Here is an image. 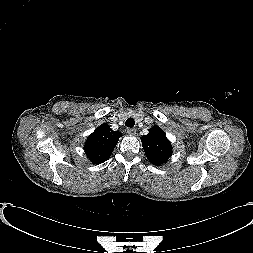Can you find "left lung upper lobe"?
I'll use <instances>...</instances> for the list:
<instances>
[{"mask_svg":"<svg viewBox=\"0 0 253 253\" xmlns=\"http://www.w3.org/2000/svg\"><path fill=\"white\" fill-rule=\"evenodd\" d=\"M141 141L148 160L154 165H162L172 154L170 141L158 126L151 128Z\"/></svg>","mask_w":253,"mask_h":253,"instance_id":"1","label":"left lung upper lobe"}]
</instances>
